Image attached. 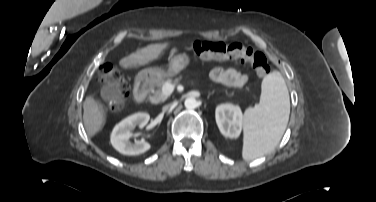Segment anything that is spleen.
I'll return each mask as SVG.
<instances>
[{
  "instance_id": "3e777b00",
  "label": "spleen",
  "mask_w": 376,
  "mask_h": 202,
  "mask_svg": "<svg viewBox=\"0 0 376 202\" xmlns=\"http://www.w3.org/2000/svg\"><path fill=\"white\" fill-rule=\"evenodd\" d=\"M261 90L259 104L246 109L244 115L242 156L245 160H253L274 149L289 120V93L281 73L273 71L266 75Z\"/></svg>"
}]
</instances>
